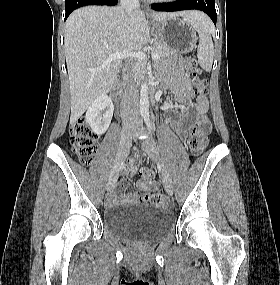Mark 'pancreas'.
I'll list each match as a JSON object with an SVG mask.
<instances>
[{"label":"pancreas","mask_w":280,"mask_h":285,"mask_svg":"<svg viewBox=\"0 0 280 285\" xmlns=\"http://www.w3.org/2000/svg\"><path fill=\"white\" fill-rule=\"evenodd\" d=\"M153 46V52H157L160 56L159 58H166L174 53V50L160 41H154ZM146 73L147 69L145 63L137 62L134 65V77L138 82H140L145 77Z\"/></svg>","instance_id":"1"}]
</instances>
